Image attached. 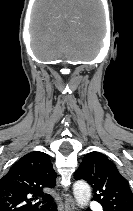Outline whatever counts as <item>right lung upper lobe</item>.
Instances as JSON below:
<instances>
[{
  "instance_id": "obj_1",
  "label": "right lung upper lobe",
  "mask_w": 133,
  "mask_h": 211,
  "mask_svg": "<svg viewBox=\"0 0 133 211\" xmlns=\"http://www.w3.org/2000/svg\"><path fill=\"white\" fill-rule=\"evenodd\" d=\"M56 177L46 153L26 154L0 179V211H38L40 202L32 205L31 200L43 197L45 201H52L43 189L54 187Z\"/></svg>"
}]
</instances>
